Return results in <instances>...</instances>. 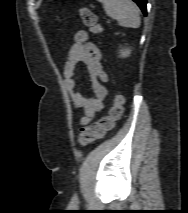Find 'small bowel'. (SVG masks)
Wrapping results in <instances>:
<instances>
[{
  "instance_id": "1",
  "label": "small bowel",
  "mask_w": 188,
  "mask_h": 213,
  "mask_svg": "<svg viewBox=\"0 0 188 213\" xmlns=\"http://www.w3.org/2000/svg\"><path fill=\"white\" fill-rule=\"evenodd\" d=\"M79 63L86 65L91 77L94 94L92 97L85 96L77 87L75 71ZM63 76L73 106L84 110L79 124L82 126L89 124L96 113L104 109V100L107 95L105 83L108 77L101 63V51L89 41L86 31L80 30L75 33L74 41L68 48V61L64 65Z\"/></svg>"
}]
</instances>
